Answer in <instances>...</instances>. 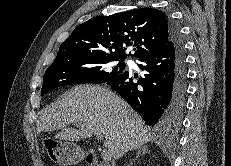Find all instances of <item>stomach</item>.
I'll return each instance as SVG.
<instances>
[{"label":"stomach","mask_w":231,"mask_h":166,"mask_svg":"<svg viewBox=\"0 0 231 166\" xmlns=\"http://www.w3.org/2000/svg\"><path fill=\"white\" fill-rule=\"evenodd\" d=\"M45 148L50 159L63 166L75 165L84 158L83 149L74 142L54 139Z\"/></svg>","instance_id":"0dacf381"}]
</instances>
